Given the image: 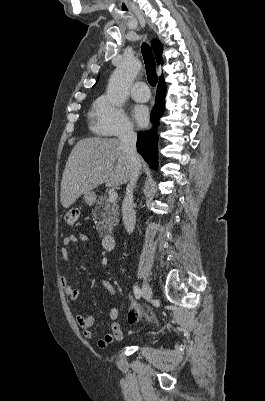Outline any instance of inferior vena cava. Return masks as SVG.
<instances>
[{"label": "inferior vena cava", "instance_id": "inferior-vena-cava-1", "mask_svg": "<svg viewBox=\"0 0 265 401\" xmlns=\"http://www.w3.org/2000/svg\"><path fill=\"white\" fill-rule=\"evenodd\" d=\"M119 138L122 142V148L127 152V158L131 166V174L122 205L123 223L127 233H133L136 223L135 211L133 209V188L136 184L138 174H140L141 164L140 156L136 150L137 134L134 132L132 124H123Z\"/></svg>", "mask_w": 265, "mask_h": 401}]
</instances>
